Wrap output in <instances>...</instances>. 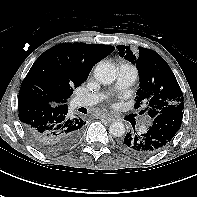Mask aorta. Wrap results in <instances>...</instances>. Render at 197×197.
<instances>
[{
	"label": "aorta",
	"instance_id": "1",
	"mask_svg": "<svg viewBox=\"0 0 197 197\" xmlns=\"http://www.w3.org/2000/svg\"><path fill=\"white\" fill-rule=\"evenodd\" d=\"M117 70L113 63L101 61L94 69L95 79L101 83L109 85L116 79ZM109 133L114 137H122L125 133V126L122 122L116 121L111 123Z\"/></svg>",
	"mask_w": 197,
	"mask_h": 197
}]
</instances>
